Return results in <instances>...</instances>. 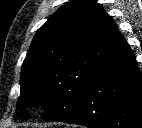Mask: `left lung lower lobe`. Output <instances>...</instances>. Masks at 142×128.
<instances>
[{"instance_id":"left-lung-lower-lobe-1","label":"left lung lower lobe","mask_w":142,"mask_h":128,"mask_svg":"<svg viewBox=\"0 0 142 128\" xmlns=\"http://www.w3.org/2000/svg\"><path fill=\"white\" fill-rule=\"evenodd\" d=\"M60 122L88 128H142V74L128 44L91 78Z\"/></svg>"}]
</instances>
